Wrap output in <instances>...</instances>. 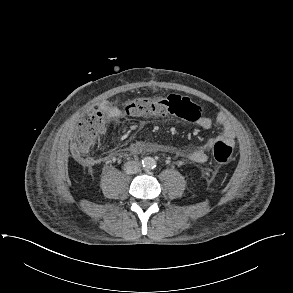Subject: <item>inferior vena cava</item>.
<instances>
[{"label":"inferior vena cava","mask_w":293,"mask_h":293,"mask_svg":"<svg viewBox=\"0 0 293 293\" xmlns=\"http://www.w3.org/2000/svg\"><path fill=\"white\" fill-rule=\"evenodd\" d=\"M141 163L138 161H128L124 164V171L127 174H135L140 171Z\"/></svg>","instance_id":"obj_1"}]
</instances>
